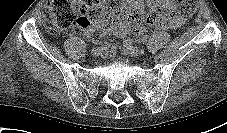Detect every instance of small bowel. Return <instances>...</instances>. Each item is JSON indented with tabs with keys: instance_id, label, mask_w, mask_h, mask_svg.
Masks as SVG:
<instances>
[{
	"instance_id": "small-bowel-1",
	"label": "small bowel",
	"mask_w": 227,
	"mask_h": 133,
	"mask_svg": "<svg viewBox=\"0 0 227 133\" xmlns=\"http://www.w3.org/2000/svg\"><path fill=\"white\" fill-rule=\"evenodd\" d=\"M150 8L158 9L163 8L167 11L165 19L162 23H158L161 28L176 29L180 27L184 19L181 17L176 9V0H147ZM144 8L143 0H123L122 7L117 11V13L107 22V26L104 29V34L115 35L117 37H124L131 31H133L137 36H142L145 32V25L142 23H136L132 20L131 12L133 10L142 11ZM105 24L104 20H99L95 24L86 29L84 34L87 38H91L93 33L100 29ZM147 25H152L155 23L146 22Z\"/></svg>"
}]
</instances>
